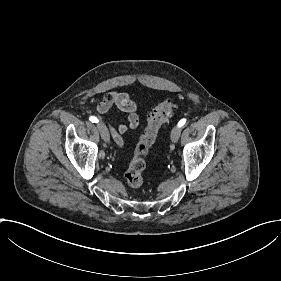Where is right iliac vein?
Instances as JSON below:
<instances>
[{
  "label": "right iliac vein",
  "instance_id": "1",
  "mask_svg": "<svg viewBox=\"0 0 281 281\" xmlns=\"http://www.w3.org/2000/svg\"><path fill=\"white\" fill-rule=\"evenodd\" d=\"M99 130H100V133H101V138H103L104 141H108L110 140V136H109V130L108 128L105 127L104 124H99Z\"/></svg>",
  "mask_w": 281,
  "mask_h": 281
}]
</instances>
